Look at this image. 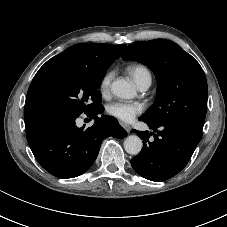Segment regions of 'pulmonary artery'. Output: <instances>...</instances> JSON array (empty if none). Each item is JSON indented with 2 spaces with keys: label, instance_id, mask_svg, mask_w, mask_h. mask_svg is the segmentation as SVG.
I'll return each mask as SVG.
<instances>
[{
  "label": "pulmonary artery",
  "instance_id": "1",
  "mask_svg": "<svg viewBox=\"0 0 227 227\" xmlns=\"http://www.w3.org/2000/svg\"><path fill=\"white\" fill-rule=\"evenodd\" d=\"M150 85H151L150 81H144L138 87L141 91H146L150 87Z\"/></svg>",
  "mask_w": 227,
  "mask_h": 227
}]
</instances>
